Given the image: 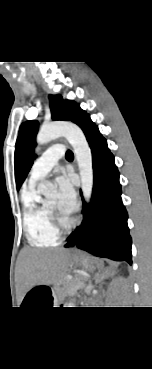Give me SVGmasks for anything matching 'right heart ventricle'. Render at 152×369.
<instances>
[{
  "mask_svg": "<svg viewBox=\"0 0 152 369\" xmlns=\"http://www.w3.org/2000/svg\"><path fill=\"white\" fill-rule=\"evenodd\" d=\"M23 227L31 246H56L60 233L53 226L46 204L41 201L35 185H29L21 195Z\"/></svg>",
  "mask_w": 152,
  "mask_h": 369,
  "instance_id": "e07e8e85",
  "label": "right heart ventricle"
}]
</instances>
